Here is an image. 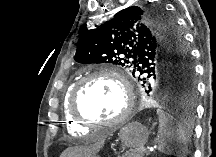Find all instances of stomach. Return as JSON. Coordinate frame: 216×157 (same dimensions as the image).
<instances>
[{
    "label": "stomach",
    "instance_id": "1",
    "mask_svg": "<svg viewBox=\"0 0 216 157\" xmlns=\"http://www.w3.org/2000/svg\"><path fill=\"white\" fill-rule=\"evenodd\" d=\"M119 136L126 146L136 148L143 146L147 142L149 131L140 123L132 122L120 129ZM90 157L100 156L96 154Z\"/></svg>",
    "mask_w": 216,
    "mask_h": 157
}]
</instances>
